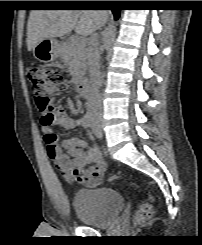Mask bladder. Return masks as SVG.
I'll return each instance as SVG.
<instances>
[{
	"instance_id": "obj_1",
	"label": "bladder",
	"mask_w": 202,
	"mask_h": 245,
	"mask_svg": "<svg viewBox=\"0 0 202 245\" xmlns=\"http://www.w3.org/2000/svg\"><path fill=\"white\" fill-rule=\"evenodd\" d=\"M73 208L81 223L105 226L123 209V197L112 188H81L74 196Z\"/></svg>"
}]
</instances>
